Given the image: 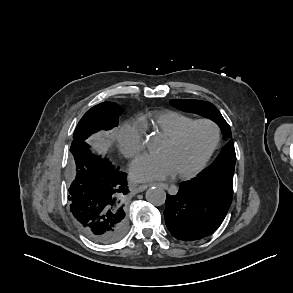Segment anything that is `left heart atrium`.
<instances>
[{"mask_svg": "<svg viewBox=\"0 0 293 293\" xmlns=\"http://www.w3.org/2000/svg\"><path fill=\"white\" fill-rule=\"evenodd\" d=\"M131 174L138 181L164 180L175 174L168 157L159 154L144 155L131 165Z\"/></svg>", "mask_w": 293, "mask_h": 293, "instance_id": "39dd6f15", "label": "left heart atrium"}]
</instances>
